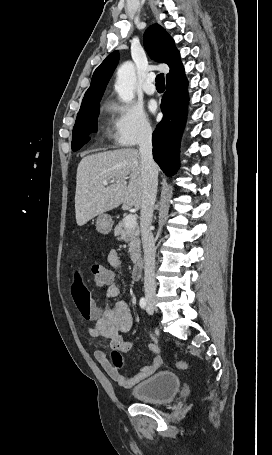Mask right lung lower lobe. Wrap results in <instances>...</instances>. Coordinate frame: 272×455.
Wrapping results in <instances>:
<instances>
[{"mask_svg":"<svg viewBox=\"0 0 272 455\" xmlns=\"http://www.w3.org/2000/svg\"><path fill=\"white\" fill-rule=\"evenodd\" d=\"M187 87L185 73L167 80L161 102L164 117L152 136L154 160L167 176L174 175L179 168L180 139L188 106Z\"/></svg>","mask_w":272,"mask_h":455,"instance_id":"1","label":"right lung lower lobe"}]
</instances>
